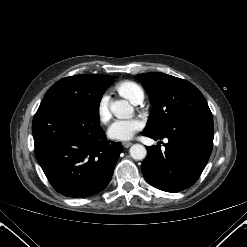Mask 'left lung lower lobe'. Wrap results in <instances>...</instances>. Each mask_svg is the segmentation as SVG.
I'll list each match as a JSON object with an SVG mask.
<instances>
[{
	"instance_id": "left-lung-lower-lobe-1",
	"label": "left lung lower lobe",
	"mask_w": 247,
	"mask_h": 247,
	"mask_svg": "<svg viewBox=\"0 0 247 247\" xmlns=\"http://www.w3.org/2000/svg\"><path fill=\"white\" fill-rule=\"evenodd\" d=\"M155 140L168 138L161 146H149L142 173L152 186L179 192L193 185L204 170L213 147L212 115H197L174 125L164 133L142 132Z\"/></svg>"
}]
</instances>
